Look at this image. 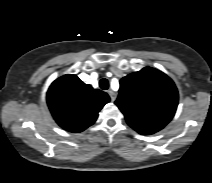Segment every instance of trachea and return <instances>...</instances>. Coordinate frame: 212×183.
Masks as SVG:
<instances>
[{"mask_svg": "<svg viewBox=\"0 0 212 183\" xmlns=\"http://www.w3.org/2000/svg\"><path fill=\"white\" fill-rule=\"evenodd\" d=\"M99 86L102 90H107L109 88V82L107 79L103 78L99 81Z\"/></svg>", "mask_w": 212, "mask_h": 183, "instance_id": "3493384b", "label": "trachea"}]
</instances>
